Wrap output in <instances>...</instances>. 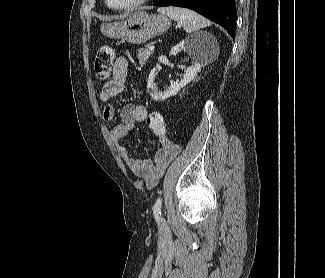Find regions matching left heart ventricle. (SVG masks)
Here are the masks:
<instances>
[{
    "mask_svg": "<svg viewBox=\"0 0 325 278\" xmlns=\"http://www.w3.org/2000/svg\"><path fill=\"white\" fill-rule=\"evenodd\" d=\"M134 1L135 0H109L110 4L114 6H123L132 3Z\"/></svg>",
    "mask_w": 325,
    "mask_h": 278,
    "instance_id": "b2bd125f",
    "label": "left heart ventricle"
}]
</instances>
